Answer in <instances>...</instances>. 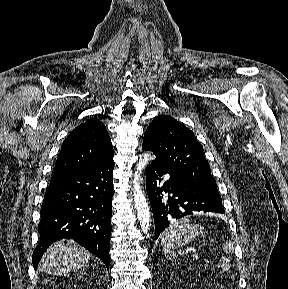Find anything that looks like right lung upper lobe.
<instances>
[{"mask_svg": "<svg viewBox=\"0 0 288 289\" xmlns=\"http://www.w3.org/2000/svg\"><path fill=\"white\" fill-rule=\"evenodd\" d=\"M112 156V143L104 124L97 119H89L64 140L54 174L91 168Z\"/></svg>", "mask_w": 288, "mask_h": 289, "instance_id": "cb5924a9", "label": "right lung upper lobe"}]
</instances>
